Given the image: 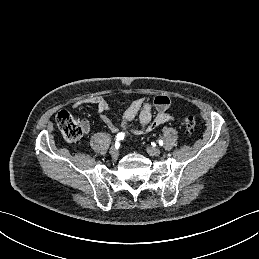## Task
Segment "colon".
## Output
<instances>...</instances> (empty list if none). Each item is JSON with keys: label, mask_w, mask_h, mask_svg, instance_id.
I'll return each mask as SVG.
<instances>
[{"label": "colon", "mask_w": 259, "mask_h": 259, "mask_svg": "<svg viewBox=\"0 0 259 259\" xmlns=\"http://www.w3.org/2000/svg\"><path fill=\"white\" fill-rule=\"evenodd\" d=\"M56 125L61 132L63 138L68 142L79 140L83 134L82 127L67 111H61L56 117ZM182 125L186 133L190 134L194 131L196 120L192 116L185 117Z\"/></svg>", "instance_id": "colon-1"}]
</instances>
